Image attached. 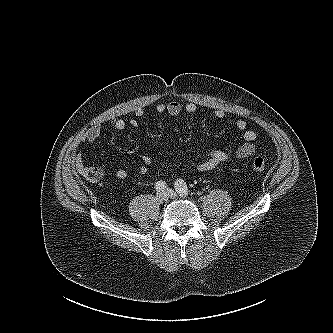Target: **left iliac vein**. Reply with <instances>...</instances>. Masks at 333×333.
Segmentation results:
<instances>
[{"mask_svg": "<svg viewBox=\"0 0 333 333\" xmlns=\"http://www.w3.org/2000/svg\"><path fill=\"white\" fill-rule=\"evenodd\" d=\"M166 192L168 193L170 198H176L178 196L177 193L172 189H167Z\"/></svg>", "mask_w": 333, "mask_h": 333, "instance_id": "left-iliac-vein-1", "label": "left iliac vein"}]
</instances>
